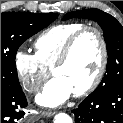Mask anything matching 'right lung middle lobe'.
<instances>
[{
  "label": "right lung middle lobe",
  "instance_id": "1",
  "mask_svg": "<svg viewBox=\"0 0 123 123\" xmlns=\"http://www.w3.org/2000/svg\"><path fill=\"white\" fill-rule=\"evenodd\" d=\"M55 13H1V88H20L15 56L20 45L57 18Z\"/></svg>",
  "mask_w": 123,
  "mask_h": 123
}]
</instances>
